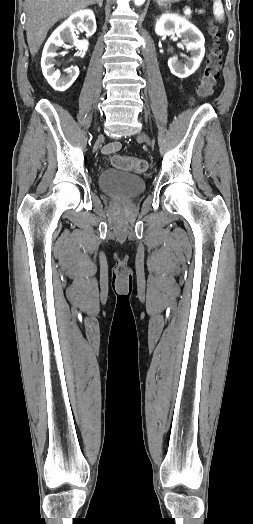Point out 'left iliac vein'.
Here are the masks:
<instances>
[{"label": "left iliac vein", "instance_id": "4c4485c4", "mask_svg": "<svg viewBox=\"0 0 253 524\" xmlns=\"http://www.w3.org/2000/svg\"><path fill=\"white\" fill-rule=\"evenodd\" d=\"M139 137L143 138L148 145H152L149 137L145 133H140Z\"/></svg>", "mask_w": 253, "mask_h": 524}]
</instances>
